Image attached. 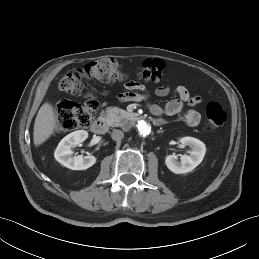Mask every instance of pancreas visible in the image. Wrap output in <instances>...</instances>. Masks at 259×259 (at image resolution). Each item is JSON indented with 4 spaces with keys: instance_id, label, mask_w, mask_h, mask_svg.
Segmentation results:
<instances>
[{
    "instance_id": "obj_1",
    "label": "pancreas",
    "mask_w": 259,
    "mask_h": 259,
    "mask_svg": "<svg viewBox=\"0 0 259 259\" xmlns=\"http://www.w3.org/2000/svg\"><path fill=\"white\" fill-rule=\"evenodd\" d=\"M106 118V121L109 125L113 127H124L128 126V121L131 118V113L120 109L118 107H108L103 113Z\"/></svg>"
}]
</instances>
